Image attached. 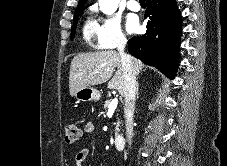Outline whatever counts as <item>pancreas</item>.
<instances>
[{
  "label": "pancreas",
  "instance_id": "obj_1",
  "mask_svg": "<svg viewBox=\"0 0 227 166\" xmlns=\"http://www.w3.org/2000/svg\"><path fill=\"white\" fill-rule=\"evenodd\" d=\"M110 103H111V100H106V101L104 102L103 107H104L105 109H107ZM119 126H120V121H118L117 126H116V134L119 132Z\"/></svg>",
  "mask_w": 227,
  "mask_h": 166
}]
</instances>
